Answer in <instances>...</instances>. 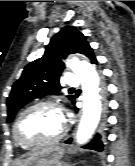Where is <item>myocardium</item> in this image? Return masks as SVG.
Masks as SVG:
<instances>
[{
	"mask_svg": "<svg viewBox=\"0 0 135 166\" xmlns=\"http://www.w3.org/2000/svg\"><path fill=\"white\" fill-rule=\"evenodd\" d=\"M44 107L53 108V109L57 110L58 112H60V114L62 116V119H63V127H62L61 132L54 139L47 140V141H41V142H36V143H30V142L23 141L18 135V126H19L20 121L30 111L35 110V109H39V108H44ZM65 133H66V119H65V116H64V109H63L62 105L59 104L58 102L50 101V100L41 101V102L35 103V104L25 108L18 115V117L16 118V120L14 122V125H13V138H14L15 142L19 146H21L23 148H28V149H34V148H40V147L55 145L63 139V137L65 136Z\"/></svg>",
	"mask_w": 135,
	"mask_h": 166,
	"instance_id": "1",
	"label": "myocardium"
}]
</instances>
